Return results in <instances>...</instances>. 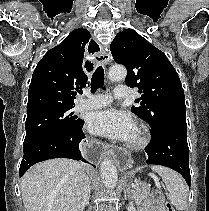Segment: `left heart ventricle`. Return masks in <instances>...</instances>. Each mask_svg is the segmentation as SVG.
Returning a JSON list of instances; mask_svg holds the SVG:
<instances>
[{
    "label": "left heart ventricle",
    "mask_w": 209,
    "mask_h": 211,
    "mask_svg": "<svg viewBox=\"0 0 209 211\" xmlns=\"http://www.w3.org/2000/svg\"><path fill=\"white\" fill-rule=\"evenodd\" d=\"M134 136H135V133H134V135H133V137H132L131 139H133V138H134Z\"/></svg>",
    "instance_id": "left-heart-ventricle-1"
}]
</instances>
